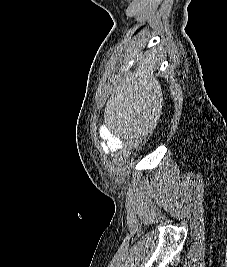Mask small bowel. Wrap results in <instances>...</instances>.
Listing matches in <instances>:
<instances>
[{"label": "small bowel", "instance_id": "1", "mask_svg": "<svg viewBox=\"0 0 227 267\" xmlns=\"http://www.w3.org/2000/svg\"><path fill=\"white\" fill-rule=\"evenodd\" d=\"M105 142L101 145V150L104 153L111 151H120L123 147V141L121 138L113 135L112 133H105Z\"/></svg>", "mask_w": 227, "mask_h": 267}]
</instances>
